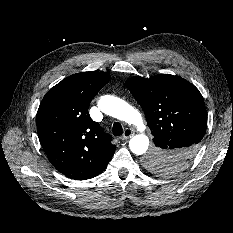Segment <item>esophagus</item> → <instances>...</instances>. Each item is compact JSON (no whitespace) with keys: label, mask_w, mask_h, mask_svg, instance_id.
Returning a JSON list of instances; mask_svg holds the SVG:
<instances>
[{"label":"esophagus","mask_w":233,"mask_h":233,"mask_svg":"<svg viewBox=\"0 0 233 233\" xmlns=\"http://www.w3.org/2000/svg\"><path fill=\"white\" fill-rule=\"evenodd\" d=\"M132 135H133L132 130L129 129V128H126V129L124 130V133H123L121 139H122V140H126V139L130 138Z\"/></svg>","instance_id":"34e87169"}]
</instances>
